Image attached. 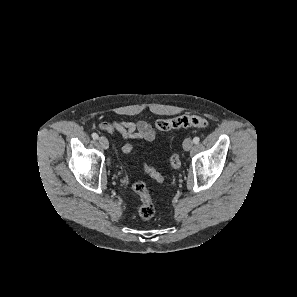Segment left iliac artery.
Returning <instances> with one entry per match:
<instances>
[{
  "label": "left iliac artery",
  "mask_w": 297,
  "mask_h": 297,
  "mask_svg": "<svg viewBox=\"0 0 297 297\" xmlns=\"http://www.w3.org/2000/svg\"><path fill=\"white\" fill-rule=\"evenodd\" d=\"M199 141H200V138L199 137L196 136V137L193 138V143L194 144H198Z\"/></svg>",
  "instance_id": "44dca946"
}]
</instances>
